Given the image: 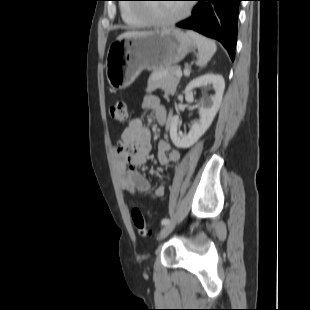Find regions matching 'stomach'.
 Listing matches in <instances>:
<instances>
[{"instance_id": "0dacf381", "label": "stomach", "mask_w": 310, "mask_h": 310, "mask_svg": "<svg viewBox=\"0 0 310 310\" xmlns=\"http://www.w3.org/2000/svg\"><path fill=\"white\" fill-rule=\"evenodd\" d=\"M195 48L187 34L175 28L114 41L107 52L106 77L115 90L128 87L142 70H161L179 63Z\"/></svg>"}]
</instances>
